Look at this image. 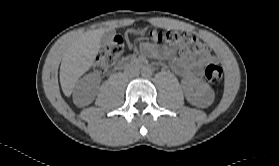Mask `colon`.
I'll return each mask as SVG.
<instances>
[{
	"mask_svg": "<svg viewBox=\"0 0 279 166\" xmlns=\"http://www.w3.org/2000/svg\"><path fill=\"white\" fill-rule=\"evenodd\" d=\"M149 37L153 42L168 46L175 53L201 55L206 52L205 45L195 36L186 32L153 30L149 33ZM123 50V39L121 37L114 38L98 54L94 66L95 70L99 73L107 72L117 63ZM204 75L211 84H218L222 80L223 70L219 65L211 63L206 66Z\"/></svg>",
	"mask_w": 279,
	"mask_h": 166,
	"instance_id": "obj_1",
	"label": "colon"
}]
</instances>
